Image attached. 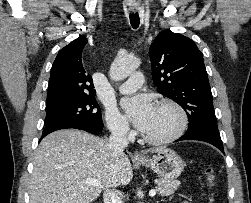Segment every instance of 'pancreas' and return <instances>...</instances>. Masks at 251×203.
<instances>
[{
  "mask_svg": "<svg viewBox=\"0 0 251 203\" xmlns=\"http://www.w3.org/2000/svg\"><path fill=\"white\" fill-rule=\"evenodd\" d=\"M180 181L174 179H163L159 182L157 192L162 196L173 194L180 186Z\"/></svg>",
  "mask_w": 251,
  "mask_h": 203,
  "instance_id": "1",
  "label": "pancreas"
}]
</instances>
